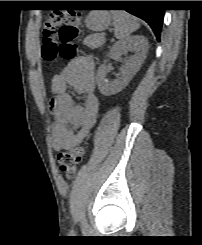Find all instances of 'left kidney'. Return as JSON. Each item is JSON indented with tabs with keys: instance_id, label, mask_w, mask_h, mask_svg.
<instances>
[{
	"instance_id": "1",
	"label": "left kidney",
	"mask_w": 202,
	"mask_h": 245,
	"mask_svg": "<svg viewBox=\"0 0 202 245\" xmlns=\"http://www.w3.org/2000/svg\"><path fill=\"white\" fill-rule=\"evenodd\" d=\"M124 49L134 51V55L130 56L125 65L121 67V74L118 78L112 81L106 79L107 61L98 68L96 82L100 92L105 96L114 95L128 85L146 58L148 41L144 36L139 35L120 40L112 46L108 56H117Z\"/></svg>"
}]
</instances>
